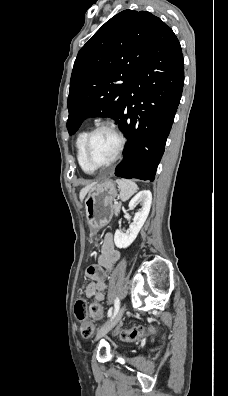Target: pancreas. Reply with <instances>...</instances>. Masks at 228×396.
<instances>
[{
  "instance_id": "cf45deb5",
  "label": "pancreas",
  "mask_w": 228,
  "mask_h": 396,
  "mask_svg": "<svg viewBox=\"0 0 228 396\" xmlns=\"http://www.w3.org/2000/svg\"><path fill=\"white\" fill-rule=\"evenodd\" d=\"M120 207H121L120 203H117V204L113 205V212H114L115 215L118 214V212L120 210Z\"/></svg>"
}]
</instances>
